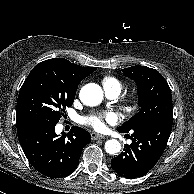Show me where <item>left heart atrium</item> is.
Here are the masks:
<instances>
[{
    "label": "left heart atrium",
    "mask_w": 194,
    "mask_h": 194,
    "mask_svg": "<svg viewBox=\"0 0 194 194\" xmlns=\"http://www.w3.org/2000/svg\"><path fill=\"white\" fill-rule=\"evenodd\" d=\"M104 120H107L109 122H114L115 117L112 114H106V115H91L86 118L85 122L92 126L96 130H102L104 128Z\"/></svg>",
    "instance_id": "left-heart-atrium-1"
}]
</instances>
